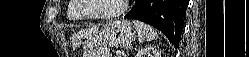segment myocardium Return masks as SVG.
Listing matches in <instances>:
<instances>
[{"label": "myocardium", "instance_id": "obj_1", "mask_svg": "<svg viewBox=\"0 0 249 57\" xmlns=\"http://www.w3.org/2000/svg\"><path fill=\"white\" fill-rule=\"evenodd\" d=\"M77 13L85 19L90 20H111L122 15L127 9L129 0H123L122 5L117 11L107 14H89L85 11L87 7V0H75Z\"/></svg>", "mask_w": 249, "mask_h": 57}]
</instances>
